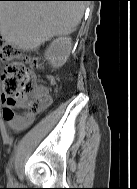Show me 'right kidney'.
Returning <instances> with one entry per match:
<instances>
[{
  "label": "right kidney",
  "instance_id": "ca27d5eb",
  "mask_svg": "<svg viewBox=\"0 0 137 189\" xmlns=\"http://www.w3.org/2000/svg\"><path fill=\"white\" fill-rule=\"evenodd\" d=\"M72 49L71 38L67 35H59L54 39L45 51V58L55 69L65 64Z\"/></svg>",
  "mask_w": 137,
  "mask_h": 189
}]
</instances>
